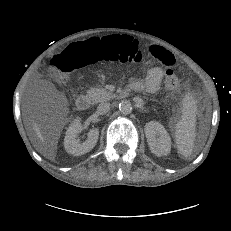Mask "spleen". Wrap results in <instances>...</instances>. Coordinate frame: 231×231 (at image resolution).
Wrapping results in <instances>:
<instances>
[{"label": "spleen", "instance_id": "spleen-1", "mask_svg": "<svg viewBox=\"0 0 231 231\" xmlns=\"http://www.w3.org/2000/svg\"><path fill=\"white\" fill-rule=\"evenodd\" d=\"M197 106L191 93H186L182 103L181 119L175 124V143L178 153L187 158L192 155L196 137Z\"/></svg>", "mask_w": 231, "mask_h": 231}]
</instances>
